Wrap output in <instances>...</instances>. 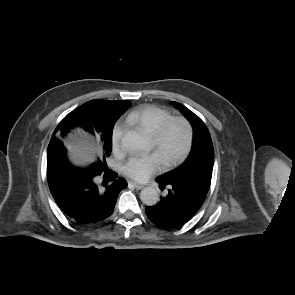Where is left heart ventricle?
Returning a JSON list of instances; mask_svg holds the SVG:
<instances>
[{"label": "left heart ventricle", "instance_id": "obj_1", "mask_svg": "<svg viewBox=\"0 0 295 295\" xmlns=\"http://www.w3.org/2000/svg\"><path fill=\"white\" fill-rule=\"evenodd\" d=\"M184 143H185L184 130L179 126L174 125L169 130L162 146L158 150H156V153L159 154L163 162H166L167 160L172 159L173 157L177 156L181 152L184 146Z\"/></svg>", "mask_w": 295, "mask_h": 295}]
</instances>
